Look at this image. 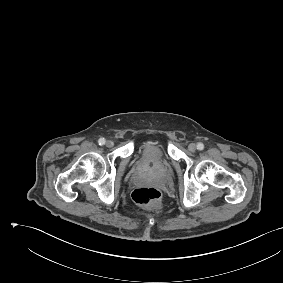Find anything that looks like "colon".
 <instances>
[{
	"label": "colon",
	"mask_w": 283,
	"mask_h": 283,
	"mask_svg": "<svg viewBox=\"0 0 283 283\" xmlns=\"http://www.w3.org/2000/svg\"><path fill=\"white\" fill-rule=\"evenodd\" d=\"M132 199L141 206L157 209L160 207L161 192L154 187H140L132 192Z\"/></svg>",
	"instance_id": "1"
}]
</instances>
